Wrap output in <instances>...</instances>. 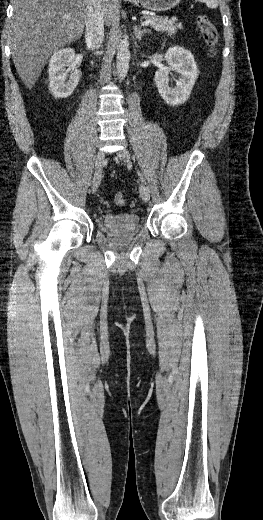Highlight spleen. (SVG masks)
<instances>
[{
    "mask_svg": "<svg viewBox=\"0 0 263 520\" xmlns=\"http://www.w3.org/2000/svg\"><path fill=\"white\" fill-rule=\"evenodd\" d=\"M204 2L209 8H216L218 6V0H204Z\"/></svg>",
    "mask_w": 263,
    "mask_h": 520,
    "instance_id": "obj_1",
    "label": "spleen"
}]
</instances>
